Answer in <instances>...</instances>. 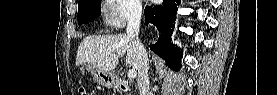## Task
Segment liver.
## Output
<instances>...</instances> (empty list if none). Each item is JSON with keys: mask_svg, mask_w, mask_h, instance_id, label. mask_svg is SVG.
I'll use <instances>...</instances> for the list:
<instances>
[{"mask_svg": "<svg viewBox=\"0 0 277 95\" xmlns=\"http://www.w3.org/2000/svg\"><path fill=\"white\" fill-rule=\"evenodd\" d=\"M124 54L126 65L136 69L135 48L126 34L88 36L78 47L76 66L88 63L102 71L111 72Z\"/></svg>", "mask_w": 277, "mask_h": 95, "instance_id": "liver-1", "label": "liver"}]
</instances>
